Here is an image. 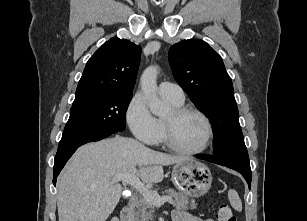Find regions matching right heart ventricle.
<instances>
[{
    "instance_id": "obj_1",
    "label": "right heart ventricle",
    "mask_w": 307,
    "mask_h": 221,
    "mask_svg": "<svg viewBox=\"0 0 307 221\" xmlns=\"http://www.w3.org/2000/svg\"><path fill=\"white\" fill-rule=\"evenodd\" d=\"M167 99V98H166ZM170 103H172L175 107L182 106L183 102L178 103L172 100L167 99ZM158 126H159V135L156 143H160L163 141L164 138V130H163V119H157Z\"/></svg>"
}]
</instances>
